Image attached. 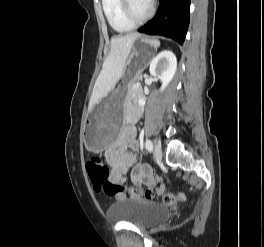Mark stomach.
Here are the masks:
<instances>
[{"instance_id":"0dacf381","label":"stomach","mask_w":264,"mask_h":247,"mask_svg":"<svg viewBox=\"0 0 264 247\" xmlns=\"http://www.w3.org/2000/svg\"><path fill=\"white\" fill-rule=\"evenodd\" d=\"M142 44H133L125 74L104 101H97L84 121L83 137L88 150L100 153L118 136L124 116V106L131 82L137 80L144 68H148V58H152L150 40L142 39Z\"/></svg>"}]
</instances>
